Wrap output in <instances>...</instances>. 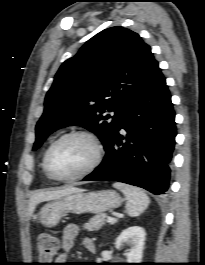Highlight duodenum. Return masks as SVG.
<instances>
[{"label":"duodenum","instance_id":"duodenum-1","mask_svg":"<svg viewBox=\"0 0 205 265\" xmlns=\"http://www.w3.org/2000/svg\"><path fill=\"white\" fill-rule=\"evenodd\" d=\"M89 250H90V252H94L95 251V248L90 247Z\"/></svg>","mask_w":205,"mask_h":265}]
</instances>
